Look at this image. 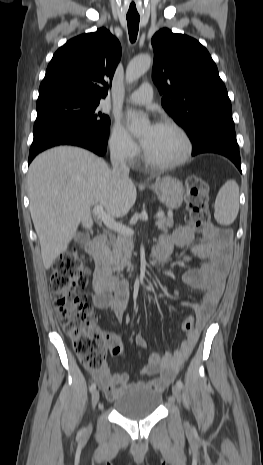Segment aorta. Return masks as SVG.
<instances>
[{
	"mask_svg": "<svg viewBox=\"0 0 263 465\" xmlns=\"http://www.w3.org/2000/svg\"><path fill=\"white\" fill-rule=\"evenodd\" d=\"M152 64V58L150 55H142L131 60L126 69V81L132 83L138 80ZM132 122L131 131L133 133L141 132L148 125V119L142 114H138L135 111H129Z\"/></svg>",
	"mask_w": 263,
	"mask_h": 465,
	"instance_id": "obj_1",
	"label": "aorta"
}]
</instances>
